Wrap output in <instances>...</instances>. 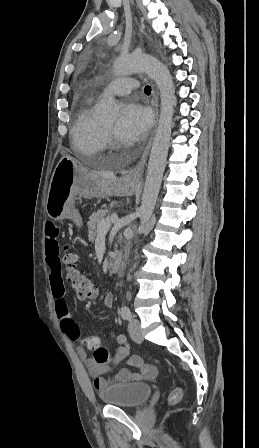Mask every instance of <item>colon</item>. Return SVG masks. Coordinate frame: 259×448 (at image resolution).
Masks as SVG:
<instances>
[{"mask_svg": "<svg viewBox=\"0 0 259 448\" xmlns=\"http://www.w3.org/2000/svg\"><path fill=\"white\" fill-rule=\"evenodd\" d=\"M78 257L72 252H67L64 256V262L67 265V279L72 287L74 295L81 300L94 298L97 295V287L85 275L77 269ZM84 345L92 350L93 360L99 364L110 362H121L125 357L111 355L110 351L103 347L97 336L91 335L83 339ZM158 363V361H155ZM182 396V390L175 388L169 395L168 404L170 406L177 404Z\"/></svg>", "mask_w": 259, "mask_h": 448, "instance_id": "obj_1", "label": "colon"}]
</instances>
